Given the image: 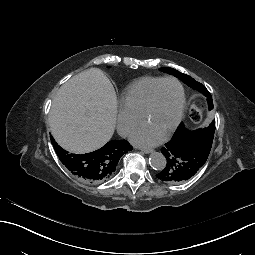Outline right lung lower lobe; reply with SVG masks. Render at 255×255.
<instances>
[{
  "label": "right lung lower lobe",
  "instance_id": "obj_1",
  "mask_svg": "<svg viewBox=\"0 0 255 255\" xmlns=\"http://www.w3.org/2000/svg\"><path fill=\"white\" fill-rule=\"evenodd\" d=\"M100 175V159L92 155L83 157V178L91 180Z\"/></svg>",
  "mask_w": 255,
  "mask_h": 255
}]
</instances>
